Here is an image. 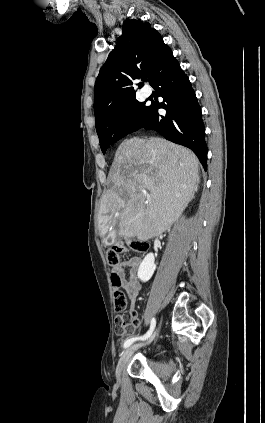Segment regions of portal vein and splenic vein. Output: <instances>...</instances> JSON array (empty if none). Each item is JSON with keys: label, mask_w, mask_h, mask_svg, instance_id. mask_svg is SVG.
<instances>
[{"label": "portal vein and splenic vein", "mask_w": 265, "mask_h": 423, "mask_svg": "<svg viewBox=\"0 0 265 423\" xmlns=\"http://www.w3.org/2000/svg\"><path fill=\"white\" fill-rule=\"evenodd\" d=\"M146 198H147V202L150 200V196L149 195H147L146 196Z\"/></svg>", "instance_id": "portal-vein-and-splenic-vein-1"}]
</instances>
